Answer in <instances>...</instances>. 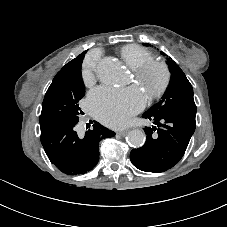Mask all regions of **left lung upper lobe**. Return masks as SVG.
Listing matches in <instances>:
<instances>
[{
	"instance_id": "5c2ea615",
	"label": "left lung upper lobe",
	"mask_w": 227,
	"mask_h": 227,
	"mask_svg": "<svg viewBox=\"0 0 227 227\" xmlns=\"http://www.w3.org/2000/svg\"><path fill=\"white\" fill-rule=\"evenodd\" d=\"M161 54L164 55L163 52ZM167 64L171 72L169 85L161 100L147 112L158 115L177 112L195 117L197 109L192 85L181 68L171 58H167Z\"/></svg>"
}]
</instances>
